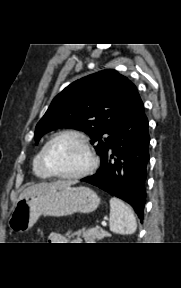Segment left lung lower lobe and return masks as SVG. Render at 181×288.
Instances as JSON below:
<instances>
[{"label":"left lung lower lobe","mask_w":181,"mask_h":288,"mask_svg":"<svg viewBox=\"0 0 181 288\" xmlns=\"http://www.w3.org/2000/svg\"><path fill=\"white\" fill-rule=\"evenodd\" d=\"M149 142L148 120L137 94L109 150L101 158L99 170L82 179L129 203L141 222L146 199Z\"/></svg>","instance_id":"1"}]
</instances>
